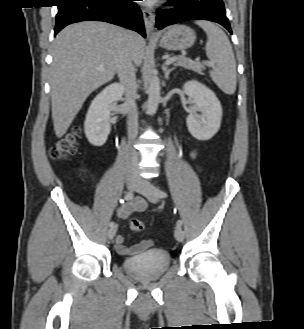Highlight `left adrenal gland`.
<instances>
[{
  "mask_svg": "<svg viewBox=\"0 0 304 329\" xmlns=\"http://www.w3.org/2000/svg\"><path fill=\"white\" fill-rule=\"evenodd\" d=\"M175 68H168L165 64L162 65V70L164 72L165 79H169L170 73L174 70Z\"/></svg>",
  "mask_w": 304,
  "mask_h": 329,
  "instance_id": "1",
  "label": "left adrenal gland"
}]
</instances>
